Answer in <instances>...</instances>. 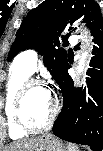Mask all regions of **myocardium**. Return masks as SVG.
<instances>
[{
	"mask_svg": "<svg viewBox=\"0 0 103 151\" xmlns=\"http://www.w3.org/2000/svg\"><path fill=\"white\" fill-rule=\"evenodd\" d=\"M35 86H40V87H43L44 89H46L51 98V111H50L49 118H48L47 122L41 127L29 126L23 120L22 114H21L24 98H25L28 90ZM58 109H59V100H58L57 96L53 93V91L47 86V84L44 81L37 80V79H27L20 86V88L17 91L16 96L14 98L13 119H14L15 124L17 125V127L20 130L27 132V133H40V132H44L51 128V126L53 125V123L56 119Z\"/></svg>",
	"mask_w": 103,
	"mask_h": 151,
	"instance_id": "myocardium-1",
	"label": "myocardium"
}]
</instances>
